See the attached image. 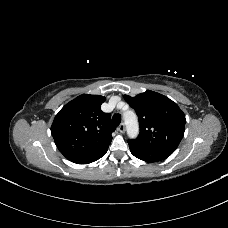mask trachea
<instances>
[{"label":"trachea","instance_id":"1","mask_svg":"<svg viewBox=\"0 0 228 228\" xmlns=\"http://www.w3.org/2000/svg\"><path fill=\"white\" fill-rule=\"evenodd\" d=\"M112 121L115 126H118L121 123V116L119 114H115L112 117Z\"/></svg>","mask_w":228,"mask_h":228}]
</instances>
